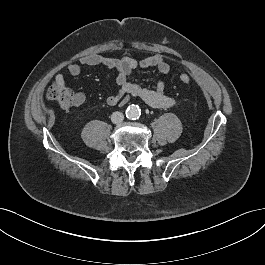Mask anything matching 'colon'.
Masks as SVG:
<instances>
[{"label": "colon", "mask_w": 265, "mask_h": 265, "mask_svg": "<svg viewBox=\"0 0 265 265\" xmlns=\"http://www.w3.org/2000/svg\"><path fill=\"white\" fill-rule=\"evenodd\" d=\"M179 79L182 83L188 84L191 82V76L188 73H181ZM50 101L56 103L60 108L66 109L73 104V94L65 87L57 84L50 87L47 93Z\"/></svg>", "instance_id": "obj_1"}]
</instances>
